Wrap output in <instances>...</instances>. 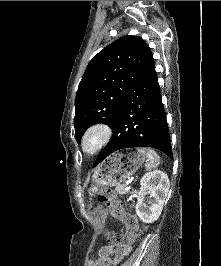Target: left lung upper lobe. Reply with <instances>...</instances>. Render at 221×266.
<instances>
[{
	"label": "left lung upper lobe",
	"mask_w": 221,
	"mask_h": 266,
	"mask_svg": "<svg viewBox=\"0 0 221 266\" xmlns=\"http://www.w3.org/2000/svg\"><path fill=\"white\" fill-rule=\"evenodd\" d=\"M155 71L149 46L141 37L124 36L106 46L88 64L75 100V139L90 126L112 127L130 90Z\"/></svg>",
	"instance_id": "left-lung-upper-lobe-1"
}]
</instances>
